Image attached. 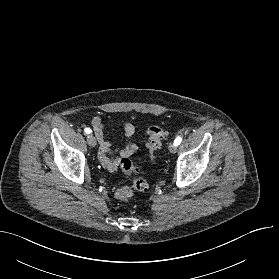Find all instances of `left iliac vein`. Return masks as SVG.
<instances>
[{
	"instance_id": "left-iliac-vein-1",
	"label": "left iliac vein",
	"mask_w": 279,
	"mask_h": 279,
	"mask_svg": "<svg viewBox=\"0 0 279 279\" xmlns=\"http://www.w3.org/2000/svg\"><path fill=\"white\" fill-rule=\"evenodd\" d=\"M169 151H170L171 153H176V151H177V146L174 145V143H171V144L169 145Z\"/></svg>"
}]
</instances>
